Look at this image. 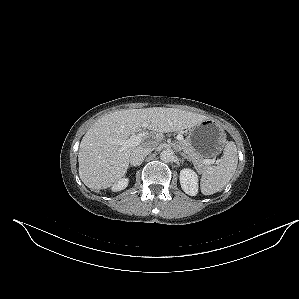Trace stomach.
Masks as SVG:
<instances>
[{
    "label": "stomach",
    "mask_w": 299,
    "mask_h": 299,
    "mask_svg": "<svg viewBox=\"0 0 299 299\" xmlns=\"http://www.w3.org/2000/svg\"><path fill=\"white\" fill-rule=\"evenodd\" d=\"M187 140L202 157L212 158L222 151L226 143V134L220 125L206 119L188 128Z\"/></svg>",
    "instance_id": "stomach-1"
}]
</instances>
